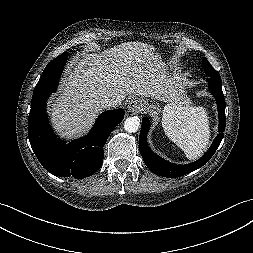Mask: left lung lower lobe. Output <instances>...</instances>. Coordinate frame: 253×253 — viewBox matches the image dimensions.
<instances>
[{
	"label": "left lung lower lobe",
	"instance_id": "0a47b994",
	"mask_svg": "<svg viewBox=\"0 0 253 253\" xmlns=\"http://www.w3.org/2000/svg\"><path fill=\"white\" fill-rule=\"evenodd\" d=\"M210 76V75H209ZM209 88L215 97L218 105L219 134L210 146L209 150L196 162L187 165H176L170 163L151 151L147 144V133L150 128V121L147 117L142 119V126L139 136V150L147 167L155 174L163 177H179L188 174L206 164L214 155L223 138L225 130V98L222 92V82L220 76H210L208 79Z\"/></svg>",
	"mask_w": 253,
	"mask_h": 253
}]
</instances>
